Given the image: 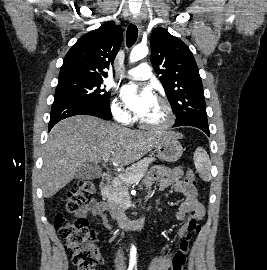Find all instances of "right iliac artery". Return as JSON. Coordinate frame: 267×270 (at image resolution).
Returning <instances> with one entry per match:
<instances>
[{"label": "right iliac artery", "mask_w": 267, "mask_h": 270, "mask_svg": "<svg viewBox=\"0 0 267 270\" xmlns=\"http://www.w3.org/2000/svg\"><path fill=\"white\" fill-rule=\"evenodd\" d=\"M128 270H132V267H129Z\"/></svg>", "instance_id": "right-iliac-artery-1"}]
</instances>
